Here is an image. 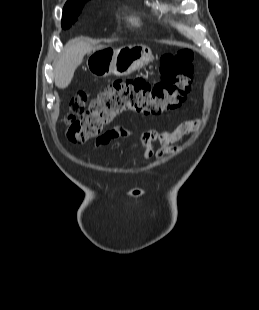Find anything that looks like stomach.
I'll return each mask as SVG.
<instances>
[{
  "label": "stomach",
  "mask_w": 259,
  "mask_h": 310,
  "mask_svg": "<svg viewBox=\"0 0 259 310\" xmlns=\"http://www.w3.org/2000/svg\"><path fill=\"white\" fill-rule=\"evenodd\" d=\"M152 59L151 49L146 45H128L119 49L104 46L89 53L87 67L99 77L126 76L148 65Z\"/></svg>",
  "instance_id": "obj_1"
}]
</instances>
